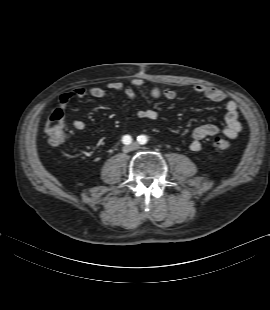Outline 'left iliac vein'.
Here are the masks:
<instances>
[{
  "label": "left iliac vein",
  "mask_w": 270,
  "mask_h": 310,
  "mask_svg": "<svg viewBox=\"0 0 270 310\" xmlns=\"http://www.w3.org/2000/svg\"><path fill=\"white\" fill-rule=\"evenodd\" d=\"M131 147H132V149L133 150H135V149H138L139 148V144L138 143H132L131 145H130Z\"/></svg>",
  "instance_id": "1"
}]
</instances>
